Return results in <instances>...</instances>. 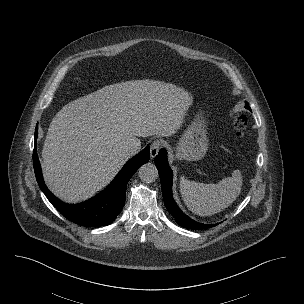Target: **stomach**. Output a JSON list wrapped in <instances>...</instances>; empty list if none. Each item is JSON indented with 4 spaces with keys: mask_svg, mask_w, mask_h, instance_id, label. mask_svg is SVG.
<instances>
[{
    "mask_svg": "<svg viewBox=\"0 0 304 304\" xmlns=\"http://www.w3.org/2000/svg\"><path fill=\"white\" fill-rule=\"evenodd\" d=\"M207 122L200 111L182 134L176 146V158L197 161L202 159L209 145Z\"/></svg>",
    "mask_w": 304,
    "mask_h": 304,
    "instance_id": "obj_1",
    "label": "stomach"
}]
</instances>
